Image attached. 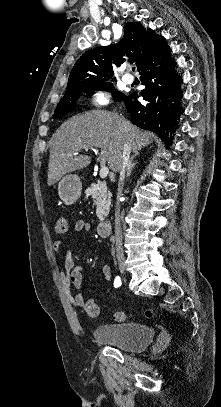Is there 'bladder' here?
<instances>
[{
  "instance_id": "1",
  "label": "bladder",
  "mask_w": 221,
  "mask_h": 407,
  "mask_svg": "<svg viewBox=\"0 0 221 407\" xmlns=\"http://www.w3.org/2000/svg\"><path fill=\"white\" fill-rule=\"evenodd\" d=\"M156 330L146 324L113 323L97 326L94 339L127 352H141L149 345Z\"/></svg>"
}]
</instances>
